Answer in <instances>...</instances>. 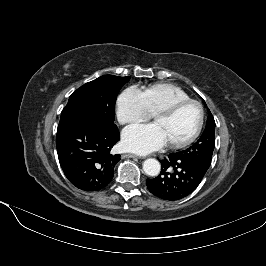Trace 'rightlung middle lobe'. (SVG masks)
<instances>
[{
	"label": "right lung middle lobe",
	"instance_id": "obj_1",
	"mask_svg": "<svg viewBox=\"0 0 266 266\" xmlns=\"http://www.w3.org/2000/svg\"><path fill=\"white\" fill-rule=\"evenodd\" d=\"M130 77L104 75L73 92L61 112L60 123L81 121L113 126L116 97Z\"/></svg>",
	"mask_w": 266,
	"mask_h": 266
}]
</instances>
